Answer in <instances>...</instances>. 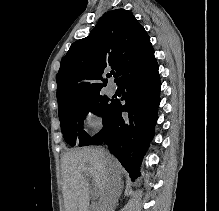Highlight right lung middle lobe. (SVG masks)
I'll return each mask as SVG.
<instances>
[{"label": "right lung middle lobe", "mask_w": 219, "mask_h": 211, "mask_svg": "<svg viewBox=\"0 0 219 211\" xmlns=\"http://www.w3.org/2000/svg\"><path fill=\"white\" fill-rule=\"evenodd\" d=\"M114 100L94 94L79 100L67 102L59 105V119L61 131L65 141L71 146L76 144L85 146L90 136L83 131V122L89 112L101 115L103 121L107 119Z\"/></svg>", "instance_id": "dd1d6c3e"}]
</instances>
